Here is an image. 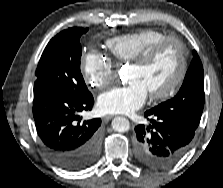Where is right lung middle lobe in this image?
Returning a JSON list of instances; mask_svg holds the SVG:
<instances>
[{
    "mask_svg": "<svg viewBox=\"0 0 223 188\" xmlns=\"http://www.w3.org/2000/svg\"><path fill=\"white\" fill-rule=\"evenodd\" d=\"M87 31L88 28L72 27L50 40L39 60L34 88L61 91L78 98L92 95L80 71V37Z\"/></svg>",
    "mask_w": 223,
    "mask_h": 188,
    "instance_id": "dd1d6c3e",
    "label": "right lung middle lobe"
}]
</instances>
